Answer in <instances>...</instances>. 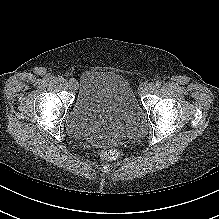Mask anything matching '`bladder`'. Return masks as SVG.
<instances>
[{"label":"bladder","mask_w":219,"mask_h":219,"mask_svg":"<svg viewBox=\"0 0 219 219\" xmlns=\"http://www.w3.org/2000/svg\"><path fill=\"white\" fill-rule=\"evenodd\" d=\"M76 82L77 95L65 118L72 137L112 144L143 133L145 111L126 78L113 72L86 71Z\"/></svg>","instance_id":"1"}]
</instances>
